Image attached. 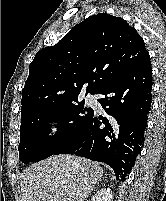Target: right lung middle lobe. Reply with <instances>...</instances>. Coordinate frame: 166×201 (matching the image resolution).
Wrapping results in <instances>:
<instances>
[{
    "mask_svg": "<svg viewBox=\"0 0 166 201\" xmlns=\"http://www.w3.org/2000/svg\"><path fill=\"white\" fill-rule=\"evenodd\" d=\"M84 100H74L57 107L21 115L19 159L23 163L38 162L53 155L93 116ZM59 123L54 136H48V123Z\"/></svg>",
    "mask_w": 166,
    "mask_h": 201,
    "instance_id": "dd1d6c3e",
    "label": "right lung middle lobe"
}]
</instances>
